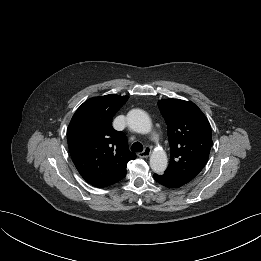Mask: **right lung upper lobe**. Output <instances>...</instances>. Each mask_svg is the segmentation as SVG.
Listing matches in <instances>:
<instances>
[{"label":"right lung upper lobe","mask_w":261,"mask_h":261,"mask_svg":"<svg viewBox=\"0 0 261 261\" xmlns=\"http://www.w3.org/2000/svg\"><path fill=\"white\" fill-rule=\"evenodd\" d=\"M128 96L116 94L90 98L73 115L67 129L71 158L89 184L101 188L123 179L136 154L130 152L123 132L112 127V118Z\"/></svg>","instance_id":"1"}]
</instances>
